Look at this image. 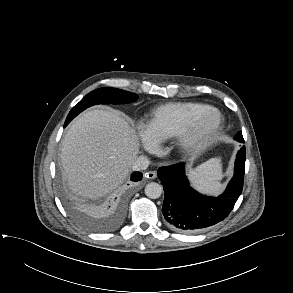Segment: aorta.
Segmentation results:
<instances>
[{
  "label": "aorta",
  "instance_id": "obj_1",
  "mask_svg": "<svg viewBox=\"0 0 293 293\" xmlns=\"http://www.w3.org/2000/svg\"><path fill=\"white\" fill-rule=\"evenodd\" d=\"M163 188L156 182H150L145 187V194L148 198L157 199L161 196Z\"/></svg>",
  "mask_w": 293,
  "mask_h": 293
}]
</instances>
